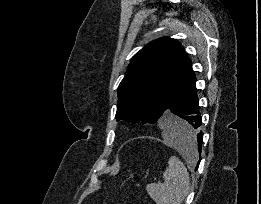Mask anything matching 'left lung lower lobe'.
Masks as SVG:
<instances>
[{
    "label": "left lung lower lobe",
    "mask_w": 261,
    "mask_h": 204,
    "mask_svg": "<svg viewBox=\"0 0 261 204\" xmlns=\"http://www.w3.org/2000/svg\"><path fill=\"white\" fill-rule=\"evenodd\" d=\"M195 83L196 77L191 67L167 108L164 124L169 134L176 140L188 141L195 139L200 153L203 143V133L200 131L202 117L199 111ZM173 114L178 116L179 120H174L172 118L175 117ZM189 153L193 154V150L189 149Z\"/></svg>",
    "instance_id": "left-lung-lower-lobe-1"
}]
</instances>
